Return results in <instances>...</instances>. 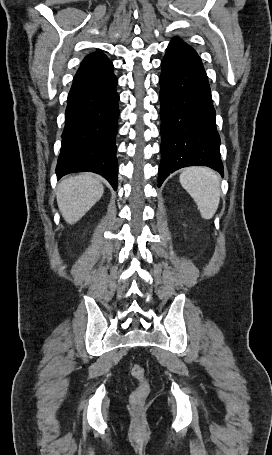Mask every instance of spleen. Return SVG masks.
I'll return each mask as SVG.
<instances>
[{
	"mask_svg": "<svg viewBox=\"0 0 272 455\" xmlns=\"http://www.w3.org/2000/svg\"><path fill=\"white\" fill-rule=\"evenodd\" d=\"M180 183L198 206L204 219H211L220 202V180L213 170L206 167H189L180 175Z\"/></svg>",
	"mask_w": 272,
	"mask_h": 455,
	"instance_id": "obj_1",
	"label": "spleen"
}]
</instances>
